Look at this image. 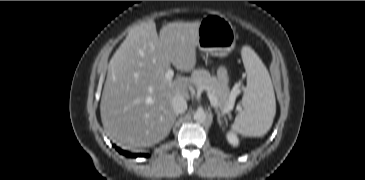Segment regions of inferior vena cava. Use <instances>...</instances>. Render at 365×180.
<instances>
[{
	"label": "inferior vena cava",
	"mask_w": 365,
	"mask_h": 180,
	"mask_svg": "<svg viewBox=\"0 0 365 180\" xmlns=\"http://www.w3.org/2000/svg\"><path fill=\"white\" fill-rule=\"evenodd\" d=\"M171 103L175 114L184 113L187 110V102L180 95L174 96Z\"/></svg>",
	"instance_id": "obj_1"
}]
</instances>
